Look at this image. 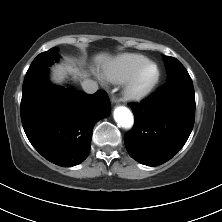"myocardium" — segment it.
<instances>
[{
    "instance_id": "myocardium-1",
    "label": "myocardium",
    "mask_w": 222,
    "mask_h": 222,
    "mask_svg": "<svg viewBox=\"0 0 222 222\" xmlns=\"http://www.w3.org/2000/svg\"><path fill=\"white\" fill-rule=\"evenodd\" d=\"M148 68L153 69V74L149 79L143 81V73ZM159 78V66L153 61H145L126 79L123 88L124 97L132 101H139L144 99L157 85Z\"/></svg>"
}]
</instances>
